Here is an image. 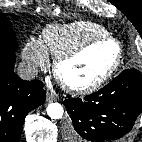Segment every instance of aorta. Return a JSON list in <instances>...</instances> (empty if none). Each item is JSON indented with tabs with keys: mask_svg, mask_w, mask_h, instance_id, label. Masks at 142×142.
Wrapping results in <instances>:
<instances>
[{
	"mask_svg": "<svg viewBox=\"0 0 142 142\" xmlns=\"http://www.w3.org/2000/svg\"><path fill=\"white\" fill-rule=\"evenodd\" d=\"M64 110L61 104L51 103L47 106V114L51 119H61L63 116Z\"/></svg>",
	"mask_w": 142,
	"mask_h": 142,
	"instance_id": "aorta-1",
	"label": "aorta"
}]
</instances>
